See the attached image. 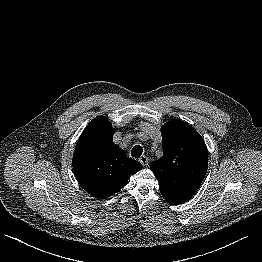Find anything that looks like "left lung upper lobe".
I'll list each match as a JSON object with an SVG mask.
<instances>
[{
    "mask_svg": "<svg viewBox=\"0 0 262 262\" xmlns=\"http://www.w3.org/2000/svg\"><path fill=\"white\" fill-rule=\"evenodd\" d=\"M163 156L150 164L161 194L173 205L187 202L200 187L208 168L203 138L188 123L171 120L161 127Z\"/></svg>",
    "mask_w": 262,
    "mask_h": 262,
    "instance_id": "5c2ea615",
    "label": "left lung upper lobe"
}]
</instances>
